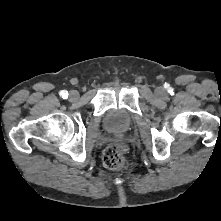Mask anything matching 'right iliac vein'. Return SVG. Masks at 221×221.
<instances>
[{"label": "right iliac vein", "mask_w": 221, "mask_h": 221, "mask_svg": "<svg viewBox=\"0 0 221 221\" xmlns=\"http://www.w3.org/2000/svg\"><path fill=\"white\" fill-rule=\"evenodd\" d=\"M78 97H79L78 91H76V90L70 91V93H69V99H70L71 101L76 100Z\"/></svg>", "instance_id": "right-iliac-vein-1"}]
</instances>
